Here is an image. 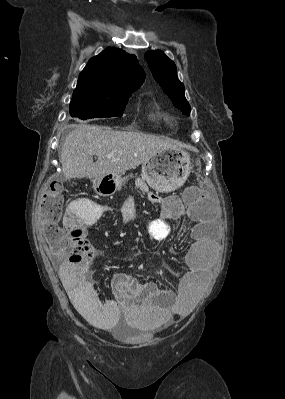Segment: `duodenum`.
I'll return each instance as SVG.
<instances>
[{
    "instance_id": "410a0bca",
    "label": "duodenum",
    "mask_w": 285,
    "mask_h": 399,
    "mask_svg": "<svg viewBox=\"0 0 285 399\" xmlns=\"http://www.w3.org/2000/svg\"><path fill=\"white\" fill-rule=\"evenodd\" d=\"M76 215H77V218H81V217L78 215V213H77Z\"/></svg>"
}]
</instances>
